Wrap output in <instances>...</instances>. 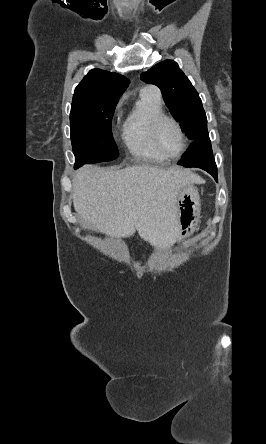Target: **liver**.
<instances>
[{"instance_id": "6515ba94", "label": "liver", "mask_w": 266, "mask_h": 444, "mask_svg": "<svg viewBox=\"0 0 266 444\" xmlns=\"http://www.w3.org/2000/svg\"><path fill=\"white\" fill-rule=\"evenodd\" d=\"M189 170L132 166L121 170L86 165L73 179L74 209L86 226L112 237H140L157 248L177 239L176 198L198 183Z\"/></svg>"}]
</instances>
